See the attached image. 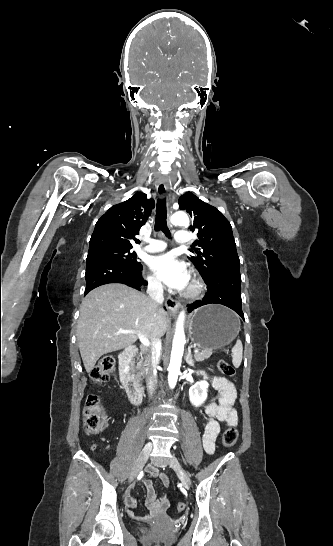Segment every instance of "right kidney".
<instances>
[{
  "label": "right kidney",
  "mask_w": 333,
  "mask_h": 546,
  "mask_svg": "<svg viewBox=\"0 0 333 546\" xmlns=\"http://www.w3.org/2000/svg\"><path fill=\"white\" fill-rule=\"evenodd\" d=\"M129 372V367L125 366L122 368V374H127Z\"/></svg>",
  "instance_id": "obj_1"
}]
</instances>
